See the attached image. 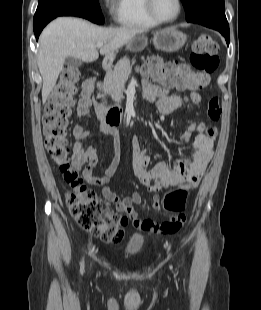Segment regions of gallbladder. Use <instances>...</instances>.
Listing matches in <instances>:
<instances>
[{
	"instance_id": "1",
	"label": "gallbladder",
	"mask_w": 261,
	"mask_h": 310,
	"mask_svg": "<svg viewBox=\"0 0 261 310\" xmlns=\"http://www.w3.org/2000/svg\"><path fill=\"white\" fill-rule=\"evenodd\" d=\"M65 64L68 67H79L81 65V61L76 57L68 56L65 59Z\"/></svg>"
}]
</instances>
